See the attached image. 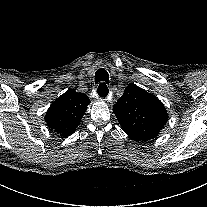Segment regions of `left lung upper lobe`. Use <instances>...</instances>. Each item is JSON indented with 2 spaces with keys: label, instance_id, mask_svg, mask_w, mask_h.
<instances>
[{
  "label": "left lung upper lobe",
  "instance_id": "obj_1",
  "mask_svg": "<svg viewBox=\"0 0 207 207\" xmlns=\"http://www.w3.org/2000/svg\"><path fill=\"white\" fill-rule=\"evenodd\" d=\"M113 112L124 132L136 141L155 138L168 120L163 103L134 84L126 87Z\"/></svg>",
  "mask_w": 207,
  "mask_h": 207
}]
</instances>
